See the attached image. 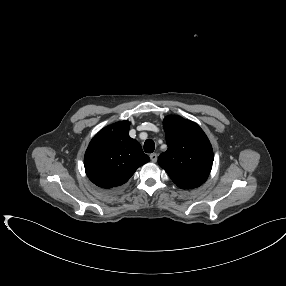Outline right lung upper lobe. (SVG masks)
<instances>
[{
  "instance_id": "right-lung-upper-lobe-1",
  "label": "right lung upper lobe",
  "mask_w": 286,
  "mask_h": 286,
  "mask_svg": "<svg viewBox=\"0 0 286 286\" xmlns=\"http://www.w3.org/2000/svg\"><path fill=\"white\" fill-rule=\"evenodd\" d=\"M128 121H121L99 131L91 140L84 166L89 179L98 187L109 190L126 183L149 157L140 143L129 137Z\"/></svg>"
}]
</instances>
